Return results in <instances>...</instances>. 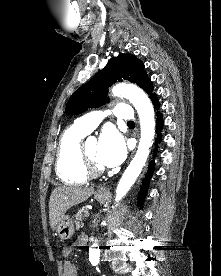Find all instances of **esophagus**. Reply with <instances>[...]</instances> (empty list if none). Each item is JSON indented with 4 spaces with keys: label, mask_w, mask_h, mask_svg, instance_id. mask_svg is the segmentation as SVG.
Masks as SVG:
<instances>
[{
    "label": "esophagus",
    "mask_w": 221,
    "mask_h": 276,
    "mask_svg": "<svg viewBox=\"0 0 221 276\" xmlns=\"http://www.w3.org/2000/svg\"><path fill=\"white\" fill-rule=\"evenodd\" d=\"M101 191H102V192H106V190H105V189H102Z\"/></svg>",
    "instance_id": "obj_1"
}]
</instances>
